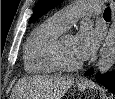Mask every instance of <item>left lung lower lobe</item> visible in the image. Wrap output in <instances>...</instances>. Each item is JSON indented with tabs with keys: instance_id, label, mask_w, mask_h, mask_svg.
<instances>
[{
	"instance_id": "1",
	"label": "left lung lower lobe",
	"mask_w": 115,
	"mask_h": 99,
	"mask_svg": "<svg viewBox=\"0 0 115 99\" xmlns=\"http://www.w3.org/2000/svg\"><path fill=\"white\" fill-rule=\"evenodd\" d=\"M91 74H93V68L89 69L85 73V75H91ZM96 78H97L98 82H100L106 88H108L112 92H115V75L106 76V75L97 74Z\"/></svg>"
}]
</instances>
